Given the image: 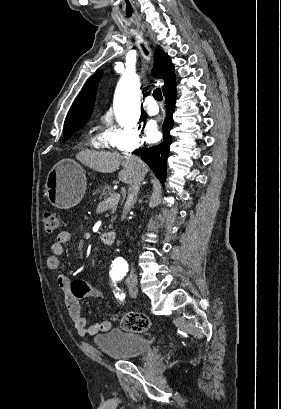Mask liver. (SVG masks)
<instances>
[{"mask_svg": "<svg viewBox=\"0 0 281 409\" xmlns=\"http://www.w3.org/2000/svg\"><path fill=\"white\" fill-rule=\"evenodd\" d=\"M76 158L93 168V170H98V172H115L116 168L122 164L123 170H120L118 174L119 180L122 182H127L129 184L133 174H134V164L131 158L134 156H128L127 160H123L126 156H122L119 152H105V150H81L76 154ZM145 172L149 170L148 166H144Z\"/></svg>", "mask_w": 281, "mask_h": 409, "instance_id": "1", "label": "liver"}]
</instances>
